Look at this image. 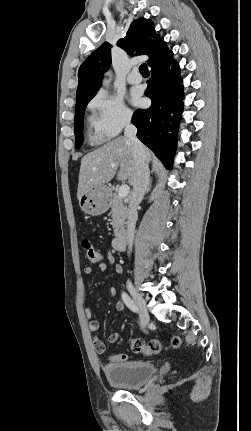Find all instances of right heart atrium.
<instances>
[{
  "label": "right heart atrium",
  "mask_w": 251,
  "mask_h": 431,
  "mask_svg": "<svg viewBox=\"0 0 251 431\" xmlns=\"http://www.w3.org/2000/svg\"><path fill=\"white\" fill-rule=\"evenodd\" d=\"M89 122L95 135L110 139L131 123L132 111L123 98L105 90L97 91L88 103Z\"/></svg>",
  "instance_id": "1"
}]
</instances>
